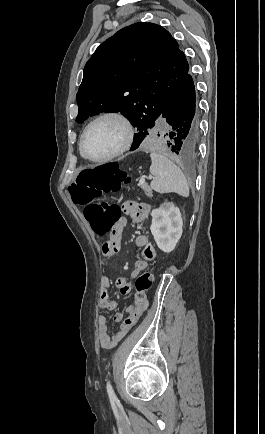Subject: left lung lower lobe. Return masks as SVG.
<instances>
[{
  "mask_svg": "<svg viewBox=\"0 0 265 434\" xmlns=\"http://www.w3.org/2000/svg\"><path fill=\"white\" fill-rule=\"evenodd\" d=\"M160 119L168 123L166 135L168 147L176 154L191 155L198 147L200 125L196 109L195 87L190 72L176 89L161 112ZM147 129L139 130L134 135L131 151L137 149L145 136Z\"/></svg>",
  "mask_w": 265,
  "mask_h": 434,
  "instance_id": "obj_1",
  "label": "left lung lower lobe"
}]
</instances>
